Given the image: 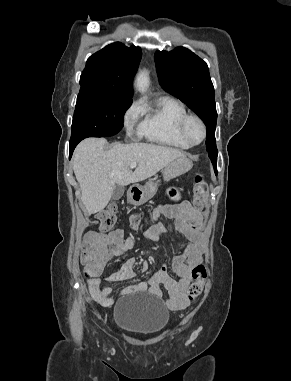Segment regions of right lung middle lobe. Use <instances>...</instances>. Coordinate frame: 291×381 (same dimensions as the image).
Segmentation results:
<instances>
[{
    "label": "right lung middle lobe",
    "mask_w": 291,
    "mask_h": 381,
    "mask_svg": "<svg viewBox=\"0 0 291 381\" xmlns=\"http://www.w3.org/2000/svg\"><path fill=\"white\" fill-rule=\"evenodd\" d=\"M132 99L106 92L80 91L72 122L70 142L79 143L87 137L117 134L123 127V115Z\"/></svg>",
    "instance_id": "dd1d6c3e"
}]
</instances>
